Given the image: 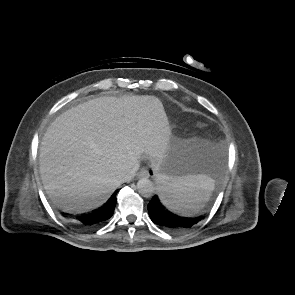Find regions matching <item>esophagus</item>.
I'll return each instance as SVG.
<instances>
[{"mask_svg":"<svg viewBox=\"0 0 295 295\" xmlns=\"http://www.w3.org/2000/svg\"><path fill=\"white\" fill-rule=\"evenodd\" d=\"M137 177L138 178H142V177H149V172L147 169L142 168L138 173H137Z\"/></svg>","mask_w":295,"mask_h":295,"instance_id":"esophagus-1","label":"esophagus"}]
</instances>
